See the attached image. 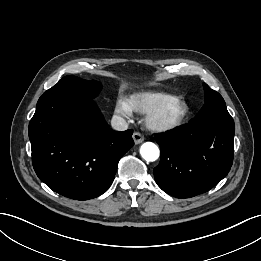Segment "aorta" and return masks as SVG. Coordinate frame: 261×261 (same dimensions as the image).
<instances>
[{
	"label": "aorta",
	"mask_w": 261,
	"mask_h": 261,
	"mask_svg": "<svg viewBox=\"0 0 261 261\" xmlns=\"http://www.w3.org/2000/svg\"><path fill=\"white\" fill-rule=\"evenodd\" d=\"M142 158L148 162H153L158 159L160 155L159 148L152 142L142 144L140 148Z\"/></svg>",
	"instance_id": "aorta-1"
}]
</instances>
